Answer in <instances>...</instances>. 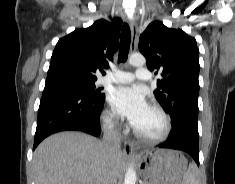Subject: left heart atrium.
I'll return each mask as SVG.
<instances>
[{"label":"left heart atrium","mask_w":235,"mask_h":184,"mask_svg":"<svg viewBox=\"0 0 235 184\" xmlns=\"http://www.w3.org/2000/svg\"><path fill=\"white\" fill-rule=\"evenodd\" d=\"M108 102L114 116L127 119L133 128H136L150 108L144 93L129 87L113 89L108 94Z\"/></svg>","instance_id":"left-heart-atrium-1"}]
</instances>
